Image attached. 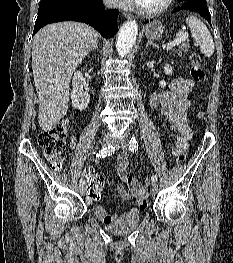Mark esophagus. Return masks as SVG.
I'll list each match as a JSON object with an SVG mask.
<instances>
[{
  "label": "esophagus",
  "mask_w": 233,
  "mask_h": 263,
  "mask_svg": "<svg viewBox=\"0 0 233 263\" xmlns=\"http://www.w3.org/2000/svg\"><path fill=\"white\" fill-rule=\"evenodd\" d=\"M123 15L127 18V19H132V15L130 13L124 12Z\"/></svg>",
  "instance_id": "1"
}]
</instances>
